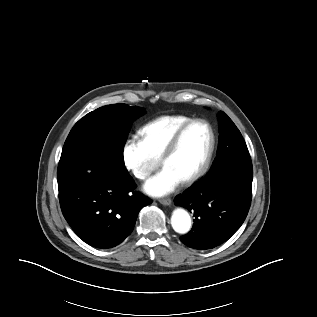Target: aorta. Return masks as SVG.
I'll use <instances>...</instances> for the list:
<instances>
[{
  "mask_svg": "<svg viewBox=\"0 0 317 317\" xmlns=\"http://www.w3.org/2000/svg\"><path fill=\"white\" fill-rule=\"evenodd\" d=\"M171 225L179 234L188 233L192 225L189 213L181 208L176 209L171 217Z\"/></svg>",
  "mask_w": 317,
  "mask_h": 317,
  "instance_id": "aorta-1",
  "label": "aorta"
}]
</instances>
